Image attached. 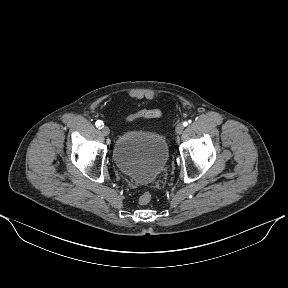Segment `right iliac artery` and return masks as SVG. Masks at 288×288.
I'll use <instances>...</instances> for the list:
<instances>
[{
	"label": "right iliac artery",
	"mask_w": 288,
	"mask_h": 288,
	"mask_svg": "<svg viewBox=\"0 0 288 288\" xmlns=\"http://www.w3.org/2000/svg\"><path fill=\"white\" fill-rule=\"evenodd\" d=\"M95 125L98 129H102L104 127V123L101 120L96 121Z\"/></svg>",
	"instance_id": "obj_1"
}]
</instances>
